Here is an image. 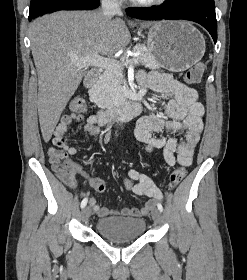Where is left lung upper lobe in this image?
Masks as SVG:
<instances>
[{"mask_svg":"<svg viewBox=\"0 0 247 280\" xmlns=\"http://www.w3.org/2000/svg\"><path fill=\"white\" fill-rule=\"evenodd\" d=\"M182 1H185V0H167L166 2L167 3H178V2H182Z\"/></svg>","mask_w":247,"mask_h":280,"instance_id":"left-lung-upper-lobe-1","label":"left lung upper lobe"}]
</instances>
